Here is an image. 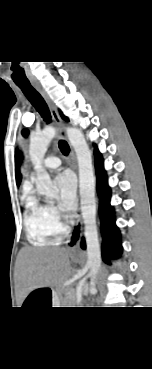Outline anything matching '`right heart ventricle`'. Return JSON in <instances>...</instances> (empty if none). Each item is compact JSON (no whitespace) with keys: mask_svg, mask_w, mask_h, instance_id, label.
Here are the masks:
<instances>
[{"mask_svg":"<svg viewBox=\"0 0 152 369\" xmlns=\"http://www.w3.org/2000/svg\"><path fill=\"white\" fill-rule=\"evenodd\" d=\"M24 226L31 244L44 246L53 244L64 232L50 216L49 205L41 204L29 191L24 194Z\"/></svg>","mask_w":152,"mask_h":369,"instance_id":"1","label":"right heart ventricle"}]
</instances>
